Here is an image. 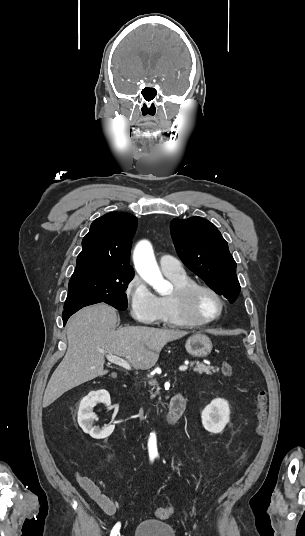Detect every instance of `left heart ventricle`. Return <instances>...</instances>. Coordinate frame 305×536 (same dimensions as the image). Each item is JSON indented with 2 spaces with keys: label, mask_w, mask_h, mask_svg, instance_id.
Segmentation results:
<instances>
[{
  "label": "left heart ventricle",
  "mask_w": 305,
  "mask_h": 536,
  "mask_svg": "<svg viewBox=\"0 0 305 536\" xmlns=\"http://www.w3.org/2000/svg\"><path fill=\"white\" fill-rule=\"evenodd\" d=\"M221 310V301L212 293L200 291L193 298L191 311L197 320H207L217 316Z\"/></svg>",
  "instance_id": "b2bd125f"
}]
</instances>
